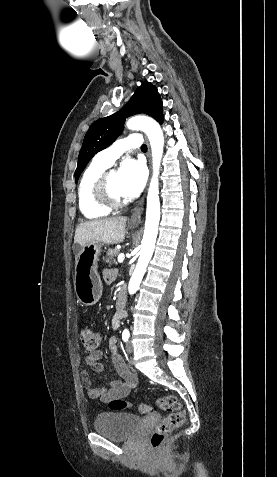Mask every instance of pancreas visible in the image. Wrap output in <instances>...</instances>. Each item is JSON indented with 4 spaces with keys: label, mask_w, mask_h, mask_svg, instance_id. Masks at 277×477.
<instances>
[{
    "label": "pancreas",
    "mask_w": 277,
    "mask_h": 477,
    "mask_svg": "<svg viewBox=\"0 0 277 477\" xmlns=\"http://www.w3.org/2000/svg\"><path fill=\"white\" fill-rule=\"evenodd\" d=\"M118 254V250L117 249H110L107 251V256L105 258V261L107 263H114L115 262V256Z\"/></svg>",
    "instance_id": "obj_1"
}]
</instances>
